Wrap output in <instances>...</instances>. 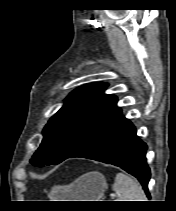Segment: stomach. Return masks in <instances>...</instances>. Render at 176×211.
I'll return each instance as SVG.
<instances>
[{
  "label": "stomach",
  "instance_id": "stomach-1",
  "mask_svg": "<svg viewBox=\"0 0 176 211\" xmlns=\"http://www.w3.org/2000/svg\"><path fill=\"white\" fill-rule=\"evenodd\" d=\"M106 188V179L101 173L89 172L67 188H56L55 192L62 197L74 199L73 201H101Z\"/></svg>",
  "mask_w": 176,
  "mask_h": 211
}]
</instances>
